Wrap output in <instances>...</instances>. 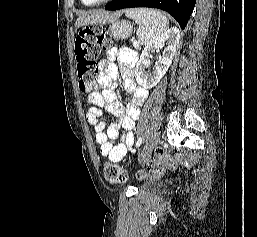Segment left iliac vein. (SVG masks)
<instances>
[{
    "mask_svg": "<svg viewBox=\"0 0 257 237\" xmlns=\"http://www.w3.org/2000/svg\"><path fill=\"white\" fill-rule=\"evenodd\" d=\"M160 140V135L159 133H155L153 134L148 141L146 142L145 146L143 147V149L140 152V159L141 160H145L149 154L151 153V151L154 149V147L158 144Z\"/></svg>",
    "mask_w": 257,
    "mask_h": 237,
    "instance_id": "4c4485c4",
    "label": "left iliac vein"
}]
</instances>
